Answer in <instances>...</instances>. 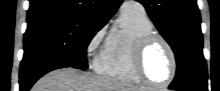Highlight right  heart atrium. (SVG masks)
I'll return each mask as SVG.
<instances>
[{
	"label": "right heart atrium",
	"mask_w": 220,
	"mask_h": 91,
	"mask_svg": "<svg viewBox=\"0 0 220 91\" xmlns=\"http://www.w3.org/2000/svg\"><path fill=\"white\" fill-rule=\"evenodd\" d=\"M105 34V29H98L88 40L86 44V52L88 55L93 54L100 46Z\"/></svg>",
	"instance_id": "right-heart-atrium-1"
}]
</instances>
